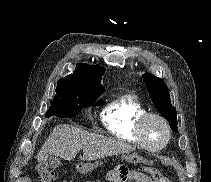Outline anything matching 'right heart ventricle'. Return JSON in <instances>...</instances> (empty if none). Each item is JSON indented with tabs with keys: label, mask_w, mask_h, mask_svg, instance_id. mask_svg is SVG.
Returning <instances> with one entry per match:
<instances>
[{
	"label": "right heart ventricle",
	"mask_w": 211,
	"mask_h": 182,
	"mask_svg": "<svg viewBox=\"0 0 211 182\" xmlns=\"http://www.w3.org/2000/svg\"><path fill=\"white\" fill-rule=\"evenodd\" d=\"M146 112V108L134 95L123 94L104 108L102 122L114 137L138 145L135 128L138 119Z\"/></svg>",
	"instance_id": "obj_1"
}]
</instances>
